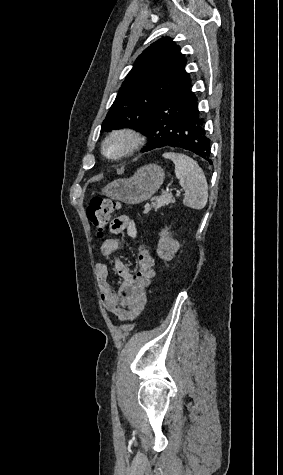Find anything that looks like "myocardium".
Wrapping results in <instances>:
<instances>
[{
	"instance_id": "f54148a6",
	"label": "myocardium",
	"mask_w": 283,
	"mask_h": 475,
	"mask_svg": "<svg viewBox=\"0 0 283 475\" xmlns=\"http://www.w3.org/2000/svg\"><path fill=\"white\" fill-rule=\"evenodd\" d=\"M144 141L143 133L134 127H119L110 131L101 143V152L109 160H121L136 153ZM120 143L121 149L111 152L109 147Z\"/></svg>"
}]
</instances>
